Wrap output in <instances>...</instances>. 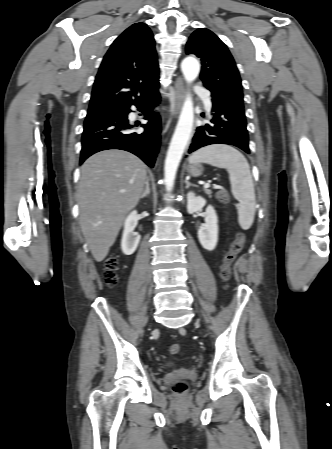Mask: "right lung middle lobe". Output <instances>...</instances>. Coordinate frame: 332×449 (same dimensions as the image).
Masks as SVG:
<instances>
[{"mask_svg":"<svg viewBox=\"0 0 332 449\" xmlns=\"http://www.w3.org/2000/svg\"><path fill=\"white\" fill-rule=\"evenodd\" d=\"M96 114H98V113H96ZM96 114H87V117L93 116V115H96Z\"/></svg>","mask_w":332,"mask_h":449,"instance_id":"right-lung-middle-lobe-1","label":"right lung middle lobe"}]
</instances>
